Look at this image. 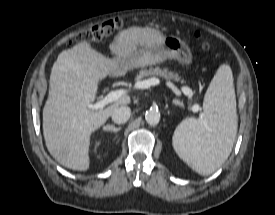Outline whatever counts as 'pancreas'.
<instances>
[{"instance_id": "pancreas-1", "label": "pancreas", "mask_w": 275, "mask_h": 215, "mask_svg": "<svg viewBox=\"0 0 275 215\" xmlns=\"http://www.w3.org/2000/svg\"><path fill=\"white\" fill-rule=\"evenodd\" d=\"M149 76H158L161 78H164L167 81H180L181 78L178 75V73L169 71L167 68L160 69L159 67L157 68H150L149 70H141L139 74L135 77V80L137 83L141 82L145 77Z\"/></svg>"}]
</instances>
